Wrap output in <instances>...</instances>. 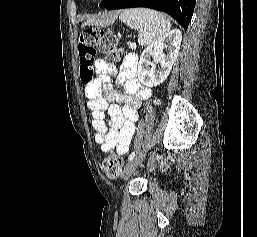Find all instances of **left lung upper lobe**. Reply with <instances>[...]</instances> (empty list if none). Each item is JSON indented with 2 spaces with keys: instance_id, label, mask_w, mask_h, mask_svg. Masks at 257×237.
<instances>
[{
  "instance_id": "obj_1",
  "label": "left lung upper lobe",
  "mask_w": 257,
  "mask_h": 237,
  "mask_svg": "<svg viewBox=\"0 0 257 237\" xmlns=\"http://www.w3.org/2000/svg\"><path fill=\"white\" fill-rule=\"evenodd\" d=\"M107 2H108V0H103V1L101 2L100 7H104Z\"/></svg>"
}]
</instances>
